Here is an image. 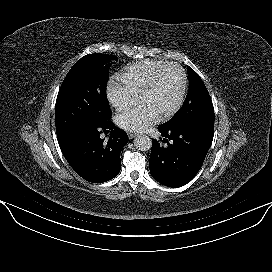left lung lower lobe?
I'll return each mask as SVG.
<instances>
[{"label": "left lung lower lobe", "mask_w": 272, "mask_h": 272, "mask_svg": "<svg viewBox=\"0 0 272 272\" xmlns=\"http://www.w3.org/2000/svg\"><path fill=\"white\" fill-rule=\"evenodd\" d=\"M158 130L167 145L152 140L151 175L165 186L181 187L191 181L201 168L213 140L214 126L167 128L160 125Z\"/></svg>", "instance_id": "left-lung-lower-lobe-1"}]
</instances>
